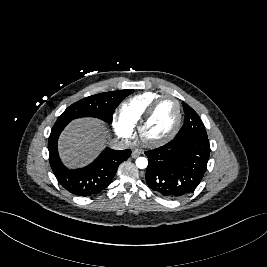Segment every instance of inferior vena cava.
<instances>
[{
    "label": "inferior vena cava",
    "instance_id": "obj_1",
    "mask_svg": "<svg viewBox=\"0 0 267 267\" xmlns=\"http://www.w3.org/2000/svg\"><path fill=\"white\" fill-rule=\"evenodd\" d=\"M129 145H130L129 141L125 139H121V140L114 139L112 142V147L116 150L126 149L129 147Z\"/></svg>",
    "mask_w": 267,
    "mask_h": 267
}]
</instances>
